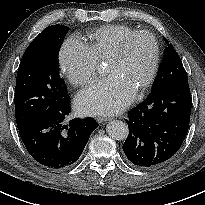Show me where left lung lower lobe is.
Wrapping results in <instances>:
<instances>
[{
	"label": "left lung lower lobe",
	"instance_id": "left-lung-lower-lobe-1",
	"mask_svg": "<svg viewBox=\"0 0 205 205\" xmlns=\"http://www.w3.org/2000/svg\"><path fill=\"white\" fill-rule=\"evenodd\" d=\"M188 79L152 91L125 119L129 135L123 144L128 160L137 167L153 168L170 159L181 147L190 122Z\"/></svg>",
	"mask_w": 205,
	"mask_h": 205
}]
</instances>
